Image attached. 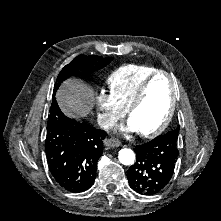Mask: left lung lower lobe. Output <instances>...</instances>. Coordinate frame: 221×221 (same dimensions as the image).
Returning <instances> with one entry per match:
<instances>
[{"mask_svg":"<svg viewBox=\"0 0 221 221\" xmlns=\"http://www.w3.org/2000/svg\"><path fill=\"white\" fill-rule=\"evenodd\" d=\"M136 162L127 171L130 187L139 194L154 195L171 180L178 152V139L160 135L134 149Z\"/></svg>","mask_w":221,"mask_h":221,"instance_id":"0a47b994","label":"left lung lower lobe"}]
</instances>
